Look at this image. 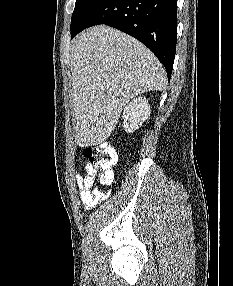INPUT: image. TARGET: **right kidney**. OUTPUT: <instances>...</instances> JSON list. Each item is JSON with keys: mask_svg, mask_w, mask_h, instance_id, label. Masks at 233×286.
<instances>
[{"mask_svg": "<svg viewBox=\"0 0 233 286\" xmlns=\"http://www.w3.org/2000/svg\"><path fill=\"white\" fill-rule=\"evenodd\" d=\"M150 111V105L145 97H138L129 102L123 111L125 131L131 133L138 129L149 117Z\"/></svg>", "mask_w": 233, "mask_h": 286, "instance_id": "obj_1", "label": "right kidney"}]
</instances>
